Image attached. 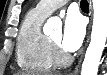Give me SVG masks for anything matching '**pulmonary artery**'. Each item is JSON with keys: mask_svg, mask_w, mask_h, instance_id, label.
<instances>
[{"mask_svg": "<svg viewBox=\"0 0 107 75\" xmlns=\"http://www.w3.org/2000/svg\"><path fill=\"white\" fill-rule=\"evenodd\" d=\"M67 2L68 0H42L37 4L35 10L44 16H48Z\"/></svg>", "mask_w": 107, "mask_h": 75, "instance_id": "e3ab8cb5", "label": "pulmonary artery"}]
</instances>
